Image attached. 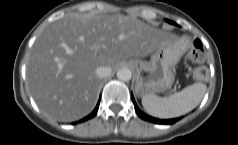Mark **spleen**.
<instances>
[{
	"mask_svg": "<svg viewBox=\"0 0 238 145\" xmlns=\"http://www.w3.org/2000/svg\"><path fill=\"white\" fill-rule=\"evenodd\" d=\"M207 86L194 83L169 97L160 98L153 94L142 97L145 111L157 118L167 119L184 115L193 110L202 101Z\"/></svg>",
	"mask_w": 238,
	"mask_h": 145,
	"instance_id": "3e777b00",
	"label": "spleen"
}]
</instances>
